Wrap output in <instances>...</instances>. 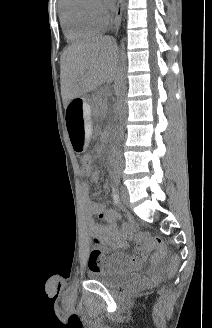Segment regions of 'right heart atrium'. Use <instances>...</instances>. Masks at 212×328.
I'll use <instances>...</instances> for the list:
<instances>
[{
	"label": "right heart atrium",
	"instance_id": "1",
	"mask_svg": "<svg viewBox=\"0 0 212 328\" xmlns=\"http://www.w3.org/2000/svg\"><path fill=\"white\" fill-rule=\"evenodd\" d=\"M98 7H99V10H100L101 12H103V11H104V8H103V6H102V5H99Z\"/></svg>",
	"mask_w": 212,
	"mask_h": 328
}]
</instances>
